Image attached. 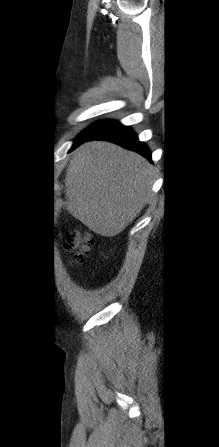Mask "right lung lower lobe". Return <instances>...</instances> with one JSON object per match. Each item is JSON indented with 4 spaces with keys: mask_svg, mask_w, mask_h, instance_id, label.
Here are the masks:
<instances>
[{
    "mask_svg": "<svg viewBox=\"0 0 219 447\" xmlns=\"http://www.w3.org/2000/svg\"><path fill=\"white\" fill-rule=\"evenodd\" d=\"M90 140H107L116 143L128 150L138 152L151 161V153L147 146L138 141L137 135L131 130L130 127L123 126L118 122H112L96 134L76 142L72 149Z\"/></svg>",
    "mask_w": 219,
    "mask_h": 447,
    "instance_id": "right-lung-lower-lobe-1",
    "label": "right lung lower lobe"
}]
</instances>
